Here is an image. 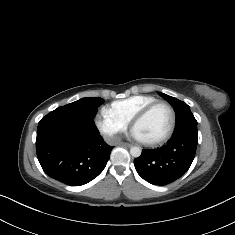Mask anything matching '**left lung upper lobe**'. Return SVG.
<instances>
[{"label":"left lung upper lobe","mask_w":235,"mask_h":235,"mask_svg":"<svg viewBox=\"0 0 235 235\" xmlns=\"http://www.w3.org/2000/svg\"><path fill=\"white\" fill-rule=\"evenodd\" d=\"M160 95L172 104L176 112V126L173 135L182 133L197 135V121L193 116L190 107L185 102L174 97L164 93H160Z\"/></svg>","instance_id":"5c2ea615"}]
</instances>
